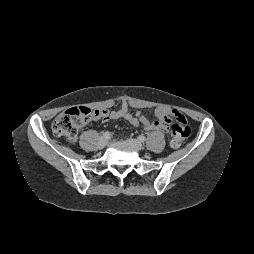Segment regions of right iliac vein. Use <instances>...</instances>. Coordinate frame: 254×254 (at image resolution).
<instances>
[{"label":"right iliac vein","mask_w":254,"mask_h":254,"mask_svg":"<svg viewBox=\"0 0 254 254\" xmlns=\"http://www.w3.org/2000/svg\"><path fill=\"white\" fill-rule=\"evenodd\" d=\"M107 143H108V140L105 137H102L99 140L98 147L102 149L107 145Z\"/></svg>","instance_id":"obj_1"}]
</instances>
